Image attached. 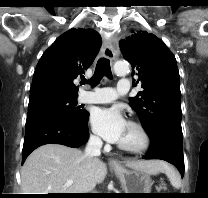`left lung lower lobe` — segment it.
Instances as JSON below:
<instances>
[{
	"label": "left lung lower lobe",
	"mask_w": 208,
	"mask_h": 198,
	"mask_svg": "<svg viewBox=\"0 0 208 198\" xmlns=\"http://www.w3.org/2000/svg\"><path fill=\"white\" fill-rule=\"evenodd\" d=\"M182 137L172 131L164 130L151 138V146L144 159H161L177 167L184 175V156Z\"/></svg>",
	"instance_id": "0a47b994"
}]
</instances>
